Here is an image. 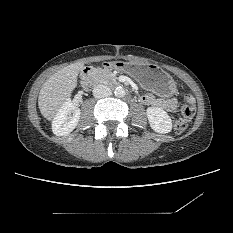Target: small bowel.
Here are the masks:
<instances>
[{"mask_svg": "<svg viewBox=\"0 0 233 233\" xmlns=\"http://www.w3.org/2000/svg\"><path fill=\"white\" fill-rule=\"evenodd\" d=\"M140 102L144 105H151L157 108H162L167 112H171L177 107V100L175 98L161 99L149 93L141 95Z\"/></svg>", "mask_w": 233, "mask_h": 233, "instance_id": "small-bowel-1", "label": "small bowel"}]
</instances>
